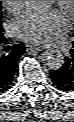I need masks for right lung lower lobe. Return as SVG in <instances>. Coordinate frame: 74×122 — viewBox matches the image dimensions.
Returning a JSON list of instances; mask_svg holds the SVG:
<instances>
[{
    "label": "right lung lower lobe",
    "mask_w": 74,
    "mask_h": 122,
    "mask_svg": "<svg viewBox=\"0 0 74 122\" xmlns=\"http://www.w3.org/2000/svg\"><path fill=\"white\" fill-rule=\"evenodd\" d=\"M6 43L4 38L0 40V92L9 88L18 60L25 52L24 44H16L11 48L8 46L9 52L3 53V47Z\"/></svg>",
    "instance_id": "right-lung-lower-lobe-1"
}]
</instances>
